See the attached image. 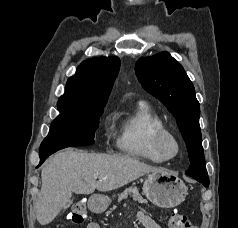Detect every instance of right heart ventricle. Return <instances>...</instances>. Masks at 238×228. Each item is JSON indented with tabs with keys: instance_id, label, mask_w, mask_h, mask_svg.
<instances>
[{
	"instance_id": "e07e8e85",
	"label": "right heart ventricle",
	"mask_w": 238,
	"mask_h": 228,
	"mask_svg": "<svg viewBox=\"0 0 238 228\" xmlns=\"http://www.w3.org/2000/svg\"><path fill=\"white\" fill-rule=\"evenodd\" d=\"M163 126V119L152 106L139 101L134 110L121 121L118 149L133 157L155 163L164 162L152 145L155 132Z\"/></svg>"
}]
</instances>
